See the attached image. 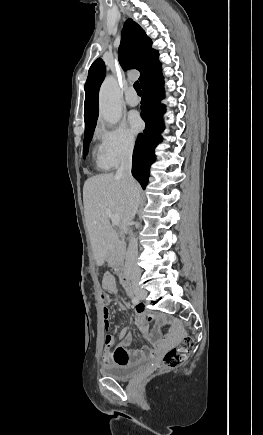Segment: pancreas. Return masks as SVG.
Listing matches in <instances>:
<instances>
[{"instance_id": "obj_1", "label": "pancreas", "mask_w": 263, "mask_h": 435, "mask_svg": "<svg viewBox=\"0 0 263 435\" xmlns=\"http://www.w3.org/2000/svg\"><path fill=\"white\" fill-rule=\"evenodd\" d=\"M108 260L110 264L115 267L117 272L122 270L124 262V247L120 241H118L111 250Z\"/></svg>"}]
</instances>
